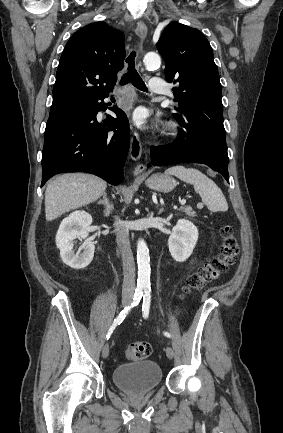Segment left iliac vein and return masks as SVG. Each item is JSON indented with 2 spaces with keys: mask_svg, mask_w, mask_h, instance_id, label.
<instances>
[{
  "mask_svg": "<svg viewBox=\"0 0 283 433\" xmlns=\"http://www.w3.org/2000/svg\"><path fill=\"white\" fill-rule=\"evenodd\" d=\"M166 355H167V357L170 358V359H172L173 356H174V351H173V349H172L171 347H169V346L166 348Z\"/></svg>",
  "mask_w": 283,
  "mask_h": 433,
  "instance_id": "4c4485c4",
  "label": "left iliac vein"
}]
</instances>
